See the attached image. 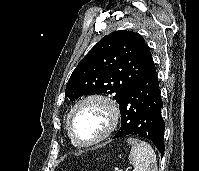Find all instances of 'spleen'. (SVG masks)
<instances>
[{"instance_id": "obj_1", "label": "spleen", "mask_w": 199, "mask_h": 171, "mask_svg": "<svg viewBox=\"0 0 199 171\" xmlns=\"http://www.w3.org/2000/svg\"><path fill=\"white\" fill-rule=\"evenodd\" d=\"M127 143L132 145L129 160L133 171H157L156 154L148 143L137 138H128Z\"/></svg>"}]
</instances>
